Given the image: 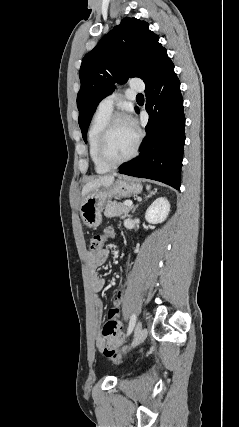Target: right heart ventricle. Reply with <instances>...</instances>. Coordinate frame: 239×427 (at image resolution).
Returning <instances> with one entry per match:
<instances>
[{"instance_id": "right-heart-ventricle-1", "label": "right heart ventricle", "mask_w": 239, "mask_h": 427, "mask_svg": "<svg viewBox=\"0 0 239 427\" xmlns=\"http://www.w3.org/2000/svg\"><path fill=\"white\" fill-rule=\"evenodd\" d=\"M110 116H111V112L97 109V111L94 113L92 117V120L88 128V132H87L89 156L93 163L95 171L98 173H105L110 170L109 167L105 166L100 162L97 155V146H98L99 136L107 120L110 118Z\"/></svg>"}]
</instances>
